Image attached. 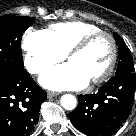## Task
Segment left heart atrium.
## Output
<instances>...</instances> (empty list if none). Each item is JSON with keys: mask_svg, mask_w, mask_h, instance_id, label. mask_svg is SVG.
<instances>
[{"mask_svg": "<svg viewBox=\"0 0 136 136\" xmlns=\"http://www.w3.org/2000/svg\"><path fill=\"white\" fill-rule=\"evenodd\" d=\"M40 83L50 90H78L87 86L89 81L75 65L68 62L46 71L40 77Z\"/></svg>", "mask_w": 136, "mask_h": 136, "instance_id": "left-heart-atrium-1", "label": "left heart atrium"}]
</instances>
